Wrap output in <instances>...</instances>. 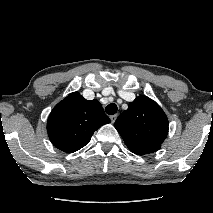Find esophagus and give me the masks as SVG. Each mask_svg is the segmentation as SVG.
<instances>
[{
	"instance_id": "esophagus-1",
	"label": "esophagus",
	"mask_w": 213,
	"mask_h": 213,
	"mask_svg": "<svg viewBox=\"0 0 213 213\" xmlns=\"http://www.w3.org/2000/svg\"><path fill=\"white\" fill-rule=\"evenodd\" d=\"M116 118H117V115H116V114L111 115V116H110V120H111V122H112V123H114V122H115V120H116Z\"/></svg>"
}]
</instances>
